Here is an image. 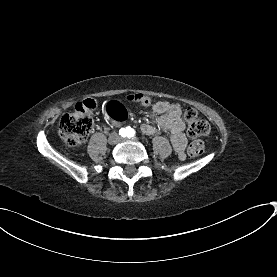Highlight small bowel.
I'll use <instances>...</instances> for the list:
<instances>
[{
  "label": "small bowel",
  "mask_w": 277,
  "mask_h": 277,
  "mask_svg": "<svg viewBox=\"0 0 277 277\" xmlns=\"http://www.w3.org/2000/svg\"><path fill=\"white\" fill-rule=\"evenodd\" d=\"M151 115L156 116L160 130L170 133L171 143L180 159L185 156L187 139L184 133L185 123L178 105L166 101H158L151 108ZM141 130L146 135H153L156 127L150 123L143 124Z\"/></svg>",
  "instance_id": "obj_1"
}]
</instances>
